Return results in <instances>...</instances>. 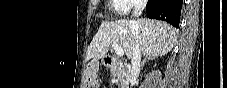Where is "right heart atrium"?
<instances>
[{
  "mask_svg": "<svg viewBox=\"0 0 227 88\" xmlns=\"http://www.w3.org/2000/svg\"><path fill=\"white\" fill-rule=\"evenodd\" d=\"M124 4V12L134 13L140 11L146 5V0H121Z\"/></svg>",
  "mask_w": 227,
  "mask_h": 88,
  "instance_id": "right-heart-atrium-1",
  "label": "right heart atrium"
}]
</instances>
